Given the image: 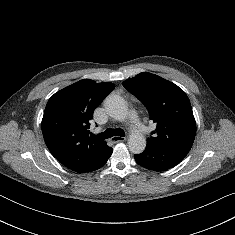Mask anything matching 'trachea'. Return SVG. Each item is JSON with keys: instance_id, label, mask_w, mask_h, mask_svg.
I'll list each match as a JSON object with an SVG mask.
<instances>
[{"instance_id": "obj_1", "label": "trachea", "mask_w": 235, "mask_h": 235, "mask_svg": "<svg viewBox=\"0 0 235 235\" xmlns=\"http://www.w3.org/2000/svg\"><path fill=\"white\" fill-rule=\"evenodd\" d=\"M120 136V137H124L125 136V132L123 129L118 128V129H107L104 133H100L98 135H93V138H97V139H108L111 138L113 136Z\"/></svg>"}]
</instances>
